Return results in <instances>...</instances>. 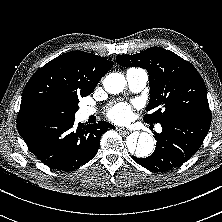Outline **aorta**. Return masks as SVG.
I'll return each instance as SVG.
<instances>
[{"mask_svg":"<svg viewBox=\"0 0 222 222\" xmlns=\"http://www.w3.org/2000/svg\"><path fill=\"white\" fill-rule=\"evenodd\" d=\"M126 84L125 77L120 73H111L103 81L105 90L110 94L122 92ZM128 151L139 158L149 156L154 148L153 137L146 132H134L127 137Z\"/></svg>","mask_w":222,"mask_h":222,"instance_id":"obj_1","label":"aorta"}]
</instances>
